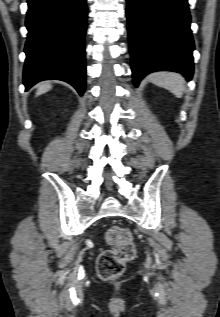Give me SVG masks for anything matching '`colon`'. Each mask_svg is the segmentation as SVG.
Listing matches in <instances>:
<instances>
[{"mask_svg": "<svg viewBox=\"0 0 220 317\" xmlns=\"http://www.w3.org/2000/svg\"><path fill=\"white\" fill-rule=\"evenodd\" d=\"M105 240L112 248L99 255L97 271L102 279L112 280L123 274L126 264L135 257L136 248L132 233L121 226L110 227Z\"/></svg>", "mask_w": 220, "mask_h": 317, "instance_id": "colon-1", "label": "colon"}]
</instances>
